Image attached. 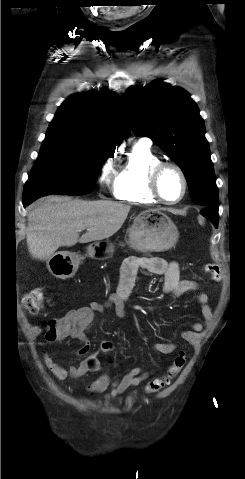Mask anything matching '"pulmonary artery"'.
<instances>
[{
  "instance_id": "e3ab8cb5",
  "label": "pulmonary artery",
  "mask_w": 245,
  "mask_h": 479,
  "mask_svg": "<svg viewBox=\"0 0 245 479\" xmlns=\"http://www.w3.org/2000/svg\"><path fill=\"white\" fill-rule=\"evenodd\" d=\"M141 141H144V142L150 144V140H149V139H142Z\"/></svg>"
}]
</instances>
